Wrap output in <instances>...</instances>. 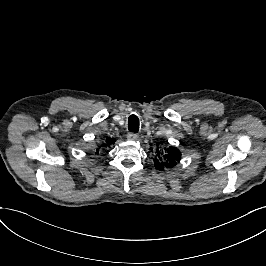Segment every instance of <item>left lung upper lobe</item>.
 I'll list each match as a JSON object with an SVG mask.
<instances>
[{"label": "left lung upper lobe", "instance_id": "obj_1", "mask_svg": "<svg viewBox=\"0 0 266 266\" xmlns=\"http://www.w3.org/2000/svg\"><path fill=\"white\" fill-rule=\"evenodd\" d=\"M181 159V152L176 147L167 149V154L155 160V166L159 170L175 166Z\"/></svg>", "mask_w": 266, "mask_h": 266}]
</instances>
